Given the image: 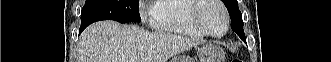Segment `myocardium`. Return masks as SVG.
<instances>
[{
  "mask_svg": "<svg viewBox=\"0 0 331 62\" xmlns=\"http://www.w3.org/2000/svg\"><path fill=\"white\" fill-rule=\"evenodd\" d=\"M208 4H215L217 5L224 17V22H225V28L222 33L220 34H214L210 32L202 23L201 18H200V12L201 10ZM189 20L193 27H195L201 34L204 36H208L211 38H221L224 35L227 34L229 27H230V18L228 11L224 4L220 0H192V4L189 9Z\"/></svg>",
  "mask_w": 331,
  "mask_h": 62,
  "instance_id": "1",
  "label": "myocardium"
}]
</instances>
